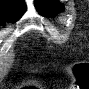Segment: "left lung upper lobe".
<instances>
[{
  "mask_svg": "<svg viewBox=\"0 0 89 89\" xmlns=\"http://www.w3.org/2000/svg\"><path fill=\"white\" fill-rule=\"evenodd\" d=\"M35 6L43 16H54L63 10V5L58 0H35Z\"/></svg>",
  "mask_w": 89,
  "mask_h": 89,
  "instance_id": "1",
  "label": "left lung upper lobe"
}]
</instances>
